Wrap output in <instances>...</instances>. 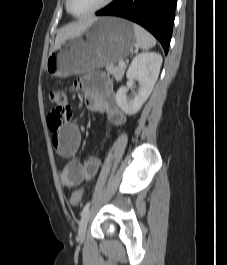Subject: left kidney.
Returning <instances> with one entry per match:
<instances>
[{"mask_svg": "<svg viewBox=\"0 0 227 265\" xmlns=\"http://www.w3.org/2000/svg\"><path fill=\"white\" fill-rule=\"evenodd\" d=\"M161 65L162 56L155 52L141 53L134 57L126 76L128 80H138L140 84L138 93L133 99L127 97L126 87H120L116 93L117 105L124 113L133 115L141 109L152 92Z\"/></svg>", "mask_w": 227, "mask_h": 265, "instance_id": "5707ae66", "label": "left kidney"}]
</instances>
